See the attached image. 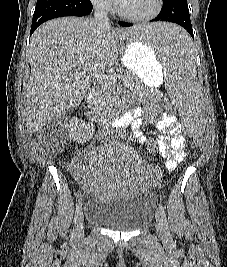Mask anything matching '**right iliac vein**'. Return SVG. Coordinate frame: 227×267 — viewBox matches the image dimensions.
<instances>
[{"mask_svg":"<svg viewBox=\"0 0 227 267\" xmlns=\"http://www.w3.org/2000/svg\"><path fill=\"white\" fill-rule=\"evenodd\" d=\"M84 236V215L80 214L76 228V237L81 239Z\"/></svg>","mask_w":227,"mask_h":267,"instance_id":"right-iliac-vein-1","label":"right iliac vein"}]
</instances>
